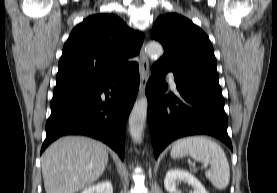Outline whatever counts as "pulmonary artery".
I'll use <instances>...</instances> for the list:
<instances>
[{"instance_id":"obj_1","label":"pulmonary artery","mask_w":277,"mask_h":193,"mask_svg":"<svg viewBox=\"0 0 277 193\" xmlns=\"http://www.w3.org/2000/svg\"><path fill=\"white\" fill-rule=\"evenodd\" d=\"M168 81H169V84L171 86L172 89L176 90V82L173 78V75L172 74H168Z\"/></svg>"}]
</instances>
